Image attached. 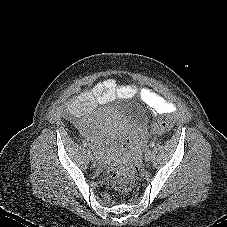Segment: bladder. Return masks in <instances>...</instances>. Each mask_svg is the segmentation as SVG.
Listing matches in <instances>:
<instances>
[{"label": "bladder", "instance_id": "31cf9c89", "mask_svg": "<svg viewBox=\"0 0 227 227\" xmlns=\"http://www.w3.org/2000/svg\"><path fill=\"white\" fill-rule=\"evenodd\" d=\"M114 111H116L119 115L130 118L131 120L138 123L147 122L146 115L128 103L122 102L117 104V106L114 108ZM97 115H101V113L98 112Z\"/></svg>", "mask_w": 227, "mask_h": 227}]
</instances>
